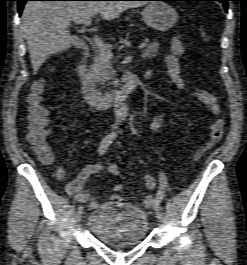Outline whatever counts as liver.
Segmentation results:
<instances>
[{"label":"liver","mask_w":247,"mask_h":265,"mask_svg":"<svg viewBox=\"0 0 247 265\" xmlns=\"http://www.w3.org/2000/svg\"><path fill=\"white\" fill-rule=\"evenodd\" d=\"M140 1H29L22 17L21 29L27 41L34 74L53 54L70 47L71 21L84 20L100 14L103 19L118 18Z\"/></svg>","instance_id":"1"}]
</instances>
